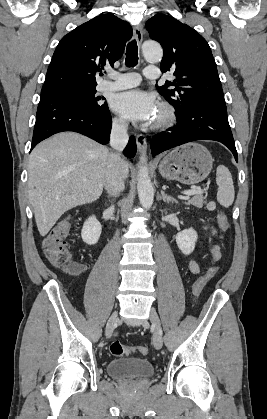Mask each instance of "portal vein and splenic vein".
<instances>
[{
  "label": "portal vein and splenic vein",
  "mask_w": 267,
  "mask_h": 419,
  "mask_svg": "<svg viewBox=\"0 0 267 419\" xmlns=\"http://www.w3.org/2000/svg\"><path fill=\"white\" fill-rule=\"evenodd\" d=\"M203 192L202 189H192V190H185L182 192V194L186 195V196H191V195H195V194H201Z\"/></svg>",
  "instance_id": "18ae733b"
}]
</instances>
